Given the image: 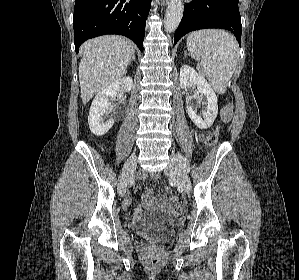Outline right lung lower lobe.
I'll return each mask as SVG.
<instances>
[{"mask_svg": "<svg viewBox=\"0 0 299 280\" xmlns=\"http://www.w3.org/2000/svg\"><path fill=\"white\" fill-rule=\"evenodd\" d=\"M150 2L151 0H76L73 18L76 53L87 39L105 34L126 36L143 51Z\"/></svg>", "mask_w": 299, "mask_h": 280, "instance_id": "right-lung-lower-lobe-1", "label": "right lung lower lobe"}]
</instances>
